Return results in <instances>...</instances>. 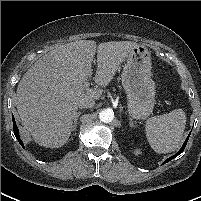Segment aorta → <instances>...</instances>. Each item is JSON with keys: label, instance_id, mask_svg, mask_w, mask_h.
I'll return each mask as SVG.
<instances>
[{"label": "aorta", "instance_id": "762f6f07", "mask_svg": "<svg viewBox=\"0 0 201 201\" xmlns=\"http://www.w3.org/2000/svg\"><path fill=\"white\" fill-rule=\"evenodd\" d=\"M114 118V113L110 109L102 110L99 113V119L104 123H110Z\"/></svg>", "mask_w": 201, "mask_h": 201}]
</instances>
